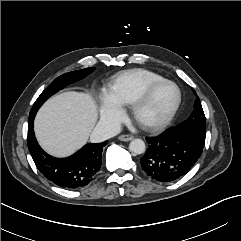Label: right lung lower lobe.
<instances>
[{
	"label": "right lung lower lobe",
	"mask_w": 241,
	"mask_h": 241,
	"mask_svg": "<svg viewBox=\"0 0 241 241\" xmlns=\"http://www.w3.org/2000/svg\"><path fill=\"white\" fill-rule=\"evenodd\" d=\"M36 113L29 115L28 148L39 171L51 182L66 189H77L89 184L102 162L103 147L108 141L87 144L74 155L55 158L44 152L34 136L33 122Z\"/></svg>",
	"instance_id": "98d812e1"
}]
</instances>
